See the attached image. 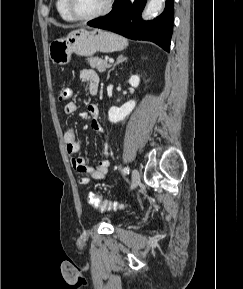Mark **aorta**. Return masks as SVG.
<instances>
[{
  "label": "aorta",
  "instance_id": "1",
  "mask_svg": "<svg viewBox=\"0 0 243 289\" xmlns=\"http://www.w3.org/2000/svg\"><path fill=\"white\" fill-rule=\"evenodd\" d=\"M165 0H150L143 12L145 19L154 17L163 7Z\"/></svg>",
  "mask_w": 243,
  "mask_h": 289
}]
</instances>
